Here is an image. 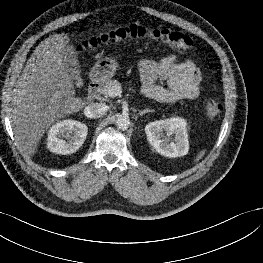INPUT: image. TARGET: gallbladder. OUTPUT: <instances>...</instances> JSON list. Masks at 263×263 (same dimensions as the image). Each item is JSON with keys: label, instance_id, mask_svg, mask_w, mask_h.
<instances>
[{"label": "gallbladder", "instance_id": "1", "mask_svg": "<svg viewBox=\"0 0 263 263\" xmlns=\"http://www.w3.org/2000/svg\"><path fill=\"white\" fill-rule=\"evenodd\" d=\"M64 64L66 71L69 73L70 77L74 80H79L81 70L78 63L77 54L72 46L70 48H67L64 54Z\"/></svg>", "mask_w": 263, "mask_h": 263}]
</instances>
